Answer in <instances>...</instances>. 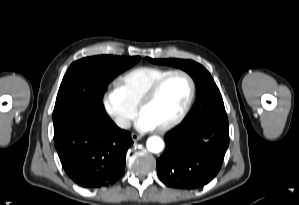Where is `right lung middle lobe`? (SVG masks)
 <instances>
[{"mask_svg": "<svg viewBox=\"0 0 299 205\" xmlns=\"http://www.w3.org/2000/svg\"><path fill=\"white\" fill-rule=\"evenodd\" d=\"M139 59V56L101 55L72 63L56 98L53 111L54 129L83 112L107 115L102 102L105 88L115 76L135 65Z\"/></svg>", "mask_w": 299, "mask_h": 205, "instance_id": "right-lung-middle-lobe-1", "label": "right lung middle lobe"}]
</instances>
